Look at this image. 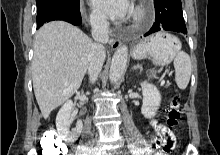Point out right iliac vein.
Here are the masks:
<instances>
[{"label":"right iliac vein","mask_w":220,"mask_h":155,"mask_svg":"<svg viewBox=\"0 0 220 155\" xmlns=\"http://www.w3.org/2000/svg\"><path fill=\"white\" fill-rule=\"evenodd\" d=\"M92 155H100L99 153H97V152H94Z\"/></svg>","instance_id":"right-iliac-vein-1"}]
</instances>
